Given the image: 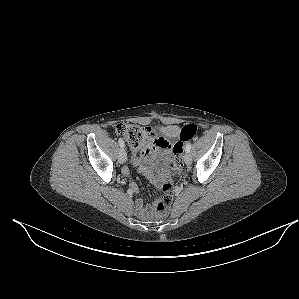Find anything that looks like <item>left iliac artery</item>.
Returning a JSON list of instances; mask_svg holds the SVG:
<instances>
[{
  "instance_id": "44dca946",
  "label": "left iliac artery",
  "mask_w": 299,
  "mask_h": 299,
  "mask_svg": "<svg viewBox=\"0 0 299 299\" xmlns=\"http://www.w3.org/2000/svg\"><path fill=\"white\" fill-rule=\"evenodd\" d=\"M190 149H191V143H188V144L186 145L185 151H186V152H190Z\"/></svg>"
}]
</instances>
